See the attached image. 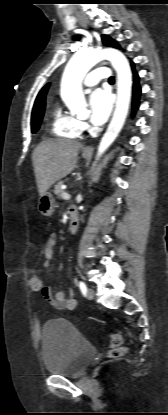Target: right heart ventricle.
<instances>
[{
    "instance_id": "e07e8e85",
    "label": "right heart ventricle",
    "mask_w": 168,
    "mask_h": 415,
    "mask_svg": "<svg viewBox=\"0 0 168 415\" xmlns=\"http://www.w3.org/2000/svg\"><path fill=\"white\" fill-rule=\"evenodd\" d=\"M51 131L57 137L76 139L80 137L82 128L77 118L57 107L52 116Z\"/></svg>"
}]
</instances>
